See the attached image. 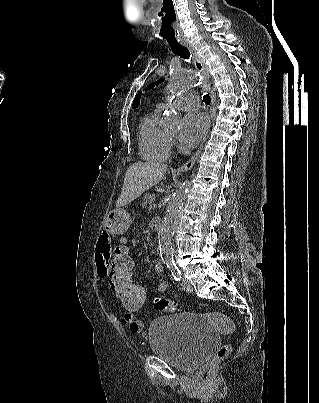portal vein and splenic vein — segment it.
<instances>
[{"label": "portal vein and splenic vein", "instance_id": "obj_1", "mask_svg": "<svg viewBox=\"0 0 319 403\" xmlns=\"http://www.w3.org/2000/svg\"><path fill=\"white\" fill-rule=\"evenodd\" d=\"M157 207V204L156 203H153L151 206H150V208H156Z\"/></svg>", "mask_w": 319, "mask_h": 403}]
</instances>
